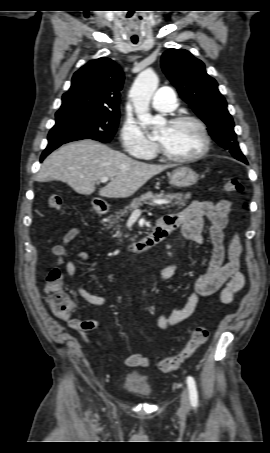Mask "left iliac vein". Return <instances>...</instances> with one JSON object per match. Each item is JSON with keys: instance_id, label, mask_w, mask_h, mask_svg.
<instances>
[{"instance_id": "4c4485c4", "label": "left iliac vein", "mask_w": 270, "mask_h": 453, "mask_svg": "<svg viewBox=\"0 0 270 453\" xmlns=\"http://www.w3.org/2000/svg\"><path fill=\"white\" fill-rule=\"evenodd\" d=\"M188 411H189V395H188V391L184 390L182 392V396H181L180 412L187 413Z\"/></svg>"}]
</instances>
